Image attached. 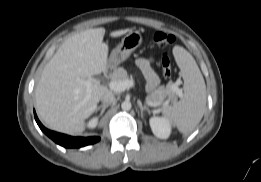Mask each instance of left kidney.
I'll return each instance as SVG.
<instances>
[{
	"instance_id": "5707ae66",
	"label": "left kidney",
	"mask_w": 261,
	"mask_h": 182,
	"mask_svg": "<svg viewBox=\"0 0 261 182\" xmlns=\"http://www.w3.org/2000/svg\"><path fill=\"white\" fill-rule=\"evenodd\" d=\"M153 134L160 139H167L171 134V125L168 120L160 117H152L149 120Z\"/></svg>"
}]
</instances>
